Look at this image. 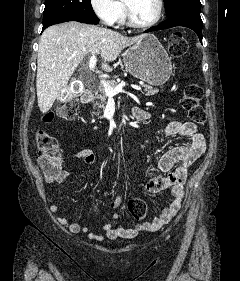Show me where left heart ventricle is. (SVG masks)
I'll use <instances>...</instances> for the list:
<instances>
[{
    "label": "left heart ventricle",
    "instance_id": "1",
    "mask_svg": "<svg viewBox=\"0 0 240 281\" xmlns=\"http://www.w3.org/2000/svg\"><path fill=\"white\" fill-rule=\"evenodd\" d=\"M135 21L145 23L152 20L157 11V0H126Z\"/></svg>",
    "mask_w": 240,
    "mask_h": 281
}]
</instances>
